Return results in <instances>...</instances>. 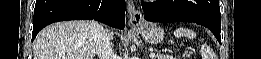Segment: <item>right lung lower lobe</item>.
<instances>
[{"label": "right lung lower lobe", "mask_w": 261, "mask_h": 59, "mask_svg": "<svg viewBox=\"0 0 261 59\" xmlns=\"http://www.w3.org/2000/svg\"><path fill=\"white\" fill-rule=\"evenodd\" d=\"M125 0H36L32 41L45 26L64 20H97L125 27Z\"/></svg>", "instance_id": "1"}]
</instances>
